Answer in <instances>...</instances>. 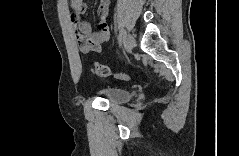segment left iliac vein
<instances>
[{
	"mask_svg": "<svg viewBox=\"0 0 239 156\" xmlns=\"http://www.w3.org/2000/svg\"><path fill=\"white\" fill-rule=\"evenodd\" d=\"M135 38L133 37V35L129 34L126 37V42H125V48L126 51L129 53L133 50V48L135 47Z\"/></svg>",
	"mask_w": 239,
	"mask_h": 156,
	"instance_id": "4c4485c4",
	"label": "left iliac vein"
}]
</instances>
